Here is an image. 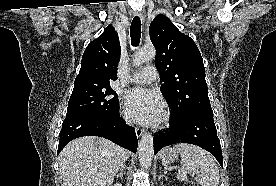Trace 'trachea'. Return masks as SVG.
I'll return each mask as SVG.
<instances>
[{
  "mask_svg": "<svg viewBox=\"0 0 276 186\" xmlns=\"http://www.w3.org/2000/svg\"><path fill=\"white\" fill-rule=\"evenodd\" d=\"M130 36L132 46H138L141 38V20L138 16H135L132 20L130 27Z\"/></svg>",
  "mask_w": 276,
  "mask_h": 186,
  "instance_id": "obj_1",
  "label": "trachea"
}]
</instances>
